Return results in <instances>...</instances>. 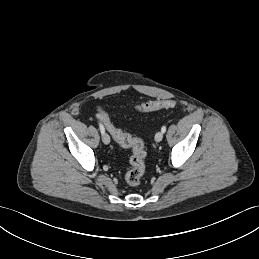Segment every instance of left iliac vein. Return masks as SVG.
Returning a JSON list of instances; mask_svg holds the SVG:
<instances>
[{
	"instance_id": "left-iliac-vein-1",
	"label": "left iliac vein",
	"mask_w": 259,
	"mask_h": 259,
	"mask_svg": "<svg viewBox=\"0 0 259 259\" xmlns=\"http://www.w3.org/2000/svg\"><path fill=\"white\" fill-rule=\"evenodd\" d=\"M162 139H163V132L162 131L157 132L155 135V141L160 142Z\"/></svg>"
}]
</instances>
